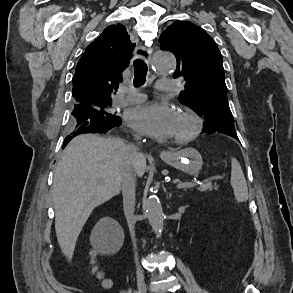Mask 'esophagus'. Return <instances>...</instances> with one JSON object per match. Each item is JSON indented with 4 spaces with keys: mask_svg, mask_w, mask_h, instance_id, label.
I'll use <instances>...</instances> for the list:
<instances>
[{
    "mask_svg": "<svg viewBox=\"0 0 293 293\" xmlns=\"http://www.w3.org/2000/svg\"><path fill=\"white\" fill-rule=\"evenodd\" d=\"M151 53H152V49L151 48H145L143 46H139L135 50V56H136V58L142 59V60L146 61L147 63L150 61ZM169 154L170 153L168 151H162L161 152V156H167Z\"/></svg>",
    "mask_w": 293,
    "mask_h": 293,
    "instance_id": "34e87169",
    "label": "esophagus"
}]
</instances>
